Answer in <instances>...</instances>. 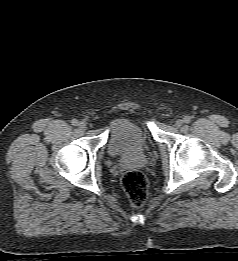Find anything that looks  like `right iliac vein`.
<instances>
[{
	"label": "right iliac vein",
	"instance_id": "right-iliac-vein-1",
	"mask_svg": "<svg viewBox=\"0 0 238 261\" xmlns=\"http://www.w3.org/2000/svg\"><path fill=\"white\" fill-rule=\"evenodd\" d=\"M79 128H80L81 130L85 131L86 128H87V126H86V124H85L84 122H80V123H79Z\"/></svg>",
	"mask_w": 238,
	"mask_h": 261
}]
</instances>
